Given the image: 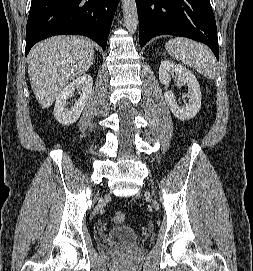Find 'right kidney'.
Segmentation results:
<instances>
[{"label":"right kidney","mask_w":253,"mask_h":271,"mask_svg":"<svg viewBox=\"0 0 253 271\" xmlns=\"http://www.w3.org/2000/svg\"><path fill=\"white\" fill-rule=\"evenodd\" d=\"M93 79L90 75H83L70 82L56 98L53 115L55 119L62 125H70L78 120L80 117L91 93H92ZM76 88H80L82 94L80 98L75 101V104L68 109V98L73 96Z\"/></svg>","instance_id":"obj_1"}]
</instances>
